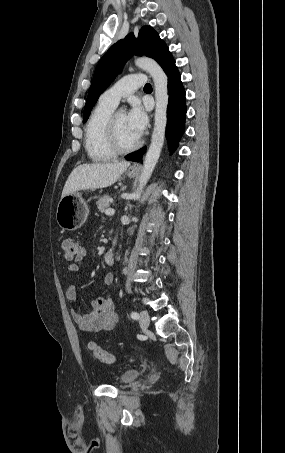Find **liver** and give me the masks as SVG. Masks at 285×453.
<instances>
[{
	"label": "liver",
	"mask_w": 285,
	"mask_h": 453,
	"mask_svg": "<svg viewBox=\"0 0 285 453\" xmlns=\"http://www.w3.org/2000/svg\"><path fill=\"white\" fill-rule=\"evenodd\" d=\"M130 166V162H112L83 164L76 167L69 175L62 196L80 190L106 188L113 185Z\"/></svg>",
	"instance_id": "6515ba94"
}]
</instances>
